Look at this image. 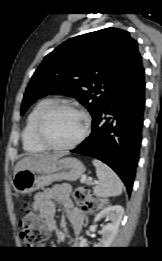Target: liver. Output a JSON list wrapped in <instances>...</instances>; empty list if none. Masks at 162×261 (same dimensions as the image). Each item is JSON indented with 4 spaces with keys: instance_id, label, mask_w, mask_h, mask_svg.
Returning a JSON list of instances; mask_svg holds the SVG:
<instances>
[{
    "instance_id": "liver-1",
    "label": "liver",
    "mask_w": 162,
    "mask_h": 261,
    "mask_svg": "<svg viewBox=\"0 0 162 261\" xmlns=\"http://www.w3.org/2000/svg\"><path fill=\"white\" fill-rule=\"evenodd\" d=\"M61 156H63V155L62 154H55V155L42 154V155L24 157L21 160H19L17 162V164L15 165L14 174L20 170L37 168V167L45 164L47 161L54 160Z\"/></svg>"
}]
</instances>
